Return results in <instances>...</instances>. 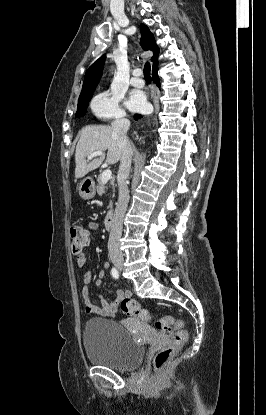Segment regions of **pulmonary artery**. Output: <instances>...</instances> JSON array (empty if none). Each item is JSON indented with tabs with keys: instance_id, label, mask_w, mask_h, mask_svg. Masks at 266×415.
<instances>
[{
	"instance_id": "1",
	"label": "pulmonary artery",
	"mask_w": 266,
	"mask_h": 415,
	"mask_svg": "<svg viewBox=\"0 0 266 415\" xmlns=\"http://www.w3.org/2000/svg\"><path fill=\"white\" fill-rule=\"evenodd\" d=\"M142 74L140 69H135L132 72L131 84L135 87L141 88L144 86V80L140 77Z\"/></svg>"
}]
</instances>
